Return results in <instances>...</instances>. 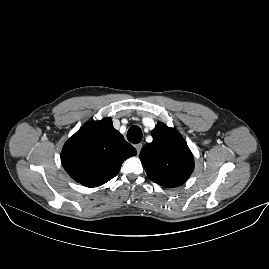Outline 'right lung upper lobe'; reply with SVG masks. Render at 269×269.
Wrapping results in <instances>:
<instances>
[{
	"label": "right lung upper lobe",
	"instance_id": "1",
	"mask_svg": "<svg viewBox=\"0 0 269 269\" xmlns=\"http://www.w3.org/2000/svg\"><path fill=\"white\" fill-rule=\"evenodd\" d=\"M136 155L111 118L86 123L64 145L61 162L75 181L97 187L115 177L122 163Z\"/></svg>",
	"mask_w": 269,
	"mask_h": 269
}]
</instances>
